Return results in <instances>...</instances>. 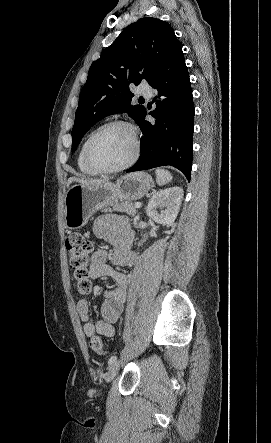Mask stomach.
Masks as SVG:
<instances>
[{
  "label": "stomach",
  "instance_id": "stomach-1",
  "mask_svg": "<svg viewBox=\"0 0 271 443\" xmlns=\"http://www.w3.org/2000/svg\"><path fill=\"white\" fill-rule=\"evenodd\" d=\"M152 188H154V182L146 172L121 176L116 184H111V182L94 184V186L75 184L69 188L65 196V227L79 229L88 222L96 210L113 206L118 200H128V202L140 200Z\"/></svg>",
  "mask_w": 271,
  "mask_h": 443
}]
</instances>
